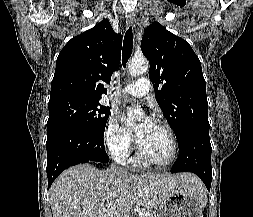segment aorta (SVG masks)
Here are the masks:
<instances>
[{
	"instance_id": "obj_1",
	"label": "aorta",
	"mask_w": 253,
	"mask_h": 217,
	"mask_svg": "<svg viewBox=\"0 0 253 217\" xmlns=\"http://www.w3.org/2000/svg\"><path fill=\"white\" fill-rule=\"evenodd\" d=\"M149 68V63L145 58H133L128 64V72L131 76H138L146 73ZM127 115L132 120H140L143 115L141 109L127 108Z\"/></svg>"
}]
</instances>
